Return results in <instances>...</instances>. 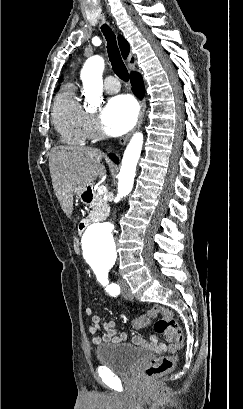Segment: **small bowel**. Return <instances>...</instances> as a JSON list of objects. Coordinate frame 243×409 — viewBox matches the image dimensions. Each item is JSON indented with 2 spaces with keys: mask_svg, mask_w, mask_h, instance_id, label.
Listing matches in <instances>:
<instances>
[{
  "mask_svg": "<svg viewBox=\"0 0 243 409\" xmlns=\"http://www.w3.org/2000/svg\"><path fill=\"white\" fill-rule=\"evenodd\" d=\"M87 315L92 316V320L89 326V332L93 335L92 342L94 344L100 345L102 343H124L127 341L128 336L125 332L118 333L115 322L107 321L101 322V319L98 315H93V309L87 307L85 309ZM103 331V334L99 332ZM171 343L169 344H160L156 336H150L149 340L146 341L140 336L135 335L132 337V342L135 345L143 346L154 350L157 353L170 352L173 353L176 351L177 346L172 342L173 339H167Z\"/></svg>",
  "mask_w": 243,
  "mask_h": 409,
  "instance_id": "small-bowel-1",
  "label": "small bowel"
}]
</instances>
